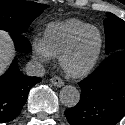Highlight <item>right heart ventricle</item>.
<instances>
[{"label": "right heart ventricle", "instance_id": "right-heart-ventricle-1", "mask_svg": "<svg viewBox=\"0 0 125 125\" xmlns=\"http://www.w3.org/2000/svg\"><path fill=\"white\" fill-rule=\"evenodd\" d=\"M88 26H90V24L76 18L54 21L46 26L43 39L49 51L53 56L57 57L72 36Z\"/></svg>", "mask_w": 125, "mask_h": 125}]
</instances>
